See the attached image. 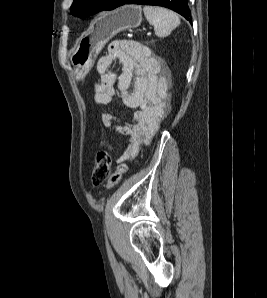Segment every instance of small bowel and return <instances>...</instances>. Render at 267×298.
I'll return each mask as SVG.
<instances>
[{"label":"small bowel","instance_id":"small-bowel-1","mask_svg":"<svg viewBox=\"0 0 267 298\" xmlns=\"http://www.w3.org/2000/svg\"><path fill=\"white\" fill-rule=\"evenodd\" d=\"M116 62L121 65L120 71L115 68ZM97 70L100 76L94 85L95 103L111 104L119 93L123 104L135 109L129 123H121L112 113L101 117L104 126L128 137L120 160L132 159L149 143L169 112L170 72L148 48L135 41L111 43L98 60Z\"/></svg>","mask_w":267,"mask_h":298}]
</instances>
